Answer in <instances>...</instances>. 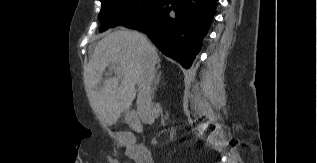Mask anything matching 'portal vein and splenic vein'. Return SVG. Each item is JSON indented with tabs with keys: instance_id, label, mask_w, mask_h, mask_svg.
Returning <instances> with one entry per match:
<instances>
[{
	"instance_id": "obj_1",
	"label": "portal vein and splenic vein",
	"mask_w": 317,
	"mask_h": 163,
	"mask_svg": "<svg viewBox=\"0 0 317 163\" xmlns=\"http://www.w3.org/2000/svg\"><path fill=\"white\" fill-rule=\"evenodd\" d=\"M113 70H114V73H115V75H118V76H120L121 75V67H120V65L119 64H114L113 65Z\"/></svg>"
}]
</instances>
